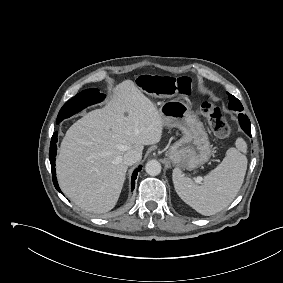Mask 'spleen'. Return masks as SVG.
<instances>
[{
    "label": "spleen",
    "instance_id": "3e777b00",
    "mask_svg": "<svg viewBox=\"0 0 283 283\" xmlns=\"http://www.w3.org/2000/svg\"><path fill=\"white\" fill-rule=\"evenodd\" d=\"M236 148L226 152L223 161L195 184L179 168L173 170V183L179 197L194 210L210 216L227 207L236 197L247 169L246 142L238 138Z\"/></svg>",
    "mask_w": 283,
    "mask_h": 283
}]
</instances>
